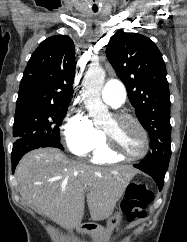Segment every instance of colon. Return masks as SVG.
I'll list each match as a JSON object with an SVG mask.
<instances>
[{
	"label": "colon",
	"instance_id": "colon-1",
	"mask_svg": "<svg viewBox=\"0 0 187 242\" xmlns=\"http://www.w3.org/2000/svg\"><path fill=\"white\" fill-rule=\"evenodd\" d=\"M153 193L144 181L131 184L123 201L122 210L129 222L145 217V208L152 202Z\"/></svg>",
	"mask_w": 187,
	"mask_h": 242
}]
</instances>
